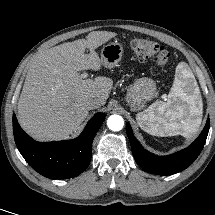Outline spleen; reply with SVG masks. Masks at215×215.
Here are the masks:
<instances>
[{"label": "spleen", "instance_id": "obj_1", "mask_svg": "<svg viewBox=\"0 0 215 215\" xmlns=\"http://www.w3.org/2000/svg\"><path fill=\"white\" fill-rule=\"evenodd\" d=\"M203 104L194 74L185 62L176 67L167 102H156L136 115L140 127L154 136L191 138L202 121Z\"/></svg>", "mask_w": 215, "mask_h": 215}]
</instances>
